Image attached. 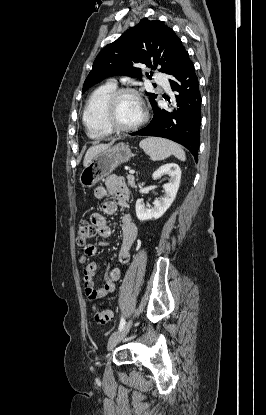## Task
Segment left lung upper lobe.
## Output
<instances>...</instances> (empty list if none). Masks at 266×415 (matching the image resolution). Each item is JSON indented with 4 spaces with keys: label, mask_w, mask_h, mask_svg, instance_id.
<instances>
[{
    "label": "left lung upper lobe",
    "mask_w": 266,
    "mask_h": 415,
    "mask_svg": "<svg viewBox=\"0 0 266 415\" xmlns=\"http://www.w3.org/2000/svg\"><path fill=\"white\" fill-rule=\"evenodd\" d=\"M187 57L188 52L171 28L162 21L144 18L101 50L84 82L83 93L116 74L141 79V69L136 67L140 63L152 69L158 67L160 72L173 77ZM147 95L152 107L156 105L157 95Z\"/></svg>",
    "instance_id": "left-lung-upper-lobe-1"
}]
</instances>
